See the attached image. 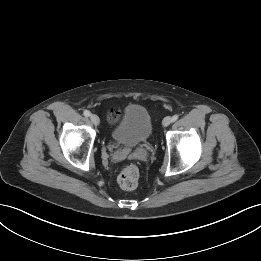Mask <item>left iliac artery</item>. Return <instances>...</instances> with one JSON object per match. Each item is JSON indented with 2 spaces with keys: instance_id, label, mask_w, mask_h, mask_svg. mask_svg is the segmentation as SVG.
Here are the masks:
<instances>
[{
  "instance_id": "44dca946",
  "label": "left iliac artery",
  "mask_w": 261,
  "mask_h": 261,
  "mask_svg": "<svg viewBox=\"0 0 261 261\" xmlns=\"http://www.w3.org/2000/svg\"><path fill=\"white\" fill-rule=\"evenodd\" d=\"M178 115H174L173 117H172V122H174V121H176L177 119H178Z\"/></svg>"
}]
</instances>
